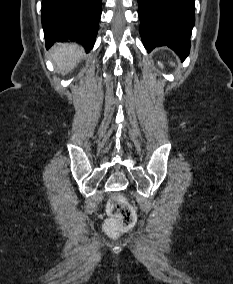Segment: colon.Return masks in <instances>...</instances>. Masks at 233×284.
Returning <instances> with one entry per match:
<instances>
[{
	"instance_id": "5ec220e1",
	"label": "colon",
	"mask_w": 233,
	"mask_h": 284,
	"mask_svg": "<svg viewBox=\"0 0 233 284\" xmlns=\"http://www.w3.org/2000/svg\"><path fill=\"white\" fill-rule=\"evenodd\" d=\"M110 216L109 229H126L131 227L136 220V215L131 205L122 196H113L107 204Z\"/></svg>"
}]
</instances>
